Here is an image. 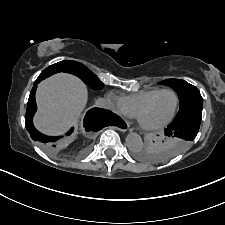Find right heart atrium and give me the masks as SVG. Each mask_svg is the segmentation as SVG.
<instances>
[{
	"label": "right heart atrium",
	"instance_id": "obj_1",
	"mask_svg": "<svg viewBox=\"0 0 225 225\" xmlns=\"http://www.w3.org/2000/svg\"><path fill=\"white\" fill-rule=\"evenodd\" d=\"M108 98L111 101L112 107L116 112L120 114H128L121 98H119L117 95L113 93H109Z\"/></svg>",
	"mask_w": 225,
	"mask_h": 225
}]
</instances>
